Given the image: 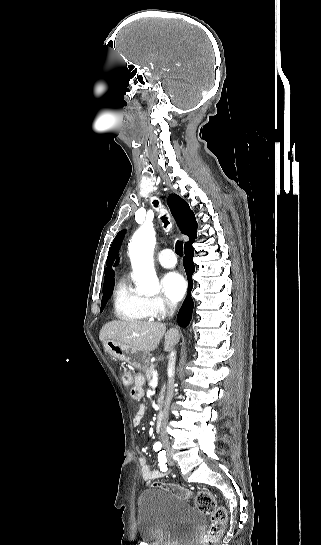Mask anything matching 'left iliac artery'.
Wrapping results in <instances>:
<instances>
[{"label":"left iliac artery","mask_w":321,"mask_h":545,"mask_svg":"<svg viewBox=\"0 0 321 545\" xmlns=\"http://www.w3.org/2000/svg\"><path fill=\"white\" fill-rule=\"evenodd\" d=\"M167 459H166V451L165 450H162L159 452L158 454V462H159V467L162 471H166L167 470V466L165 465Z\"/></svg>","instance_id":"1"}]
</instances>
